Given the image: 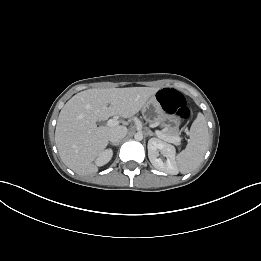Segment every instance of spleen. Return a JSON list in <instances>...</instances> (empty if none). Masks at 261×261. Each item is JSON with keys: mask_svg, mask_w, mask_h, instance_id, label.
<instances>
[{"mask_svg": "<svg viewBox=\"0 0 261 261\" xmlns=\"http://www.w3.org/2000/svg\"><path fill=\"white\" fill-rule=\"evenodd\" d=\"M209 144L206 120L202 114L193 121L186 148L176 157V165L183 174L195 170L203 160Z\"/></svg>", "mask_w": 261, "mask_h": 261, "instance_id": "3e777b00", "label": "spleen"}]
</instances>
